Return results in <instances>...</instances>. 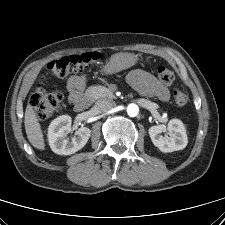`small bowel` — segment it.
Segmentation results:
<instances>
[{"label":"small bowel","instance_id":"obj_1","mask_svg":"<svg viewBox=\"0 0 225 225\" xmlns=\"http://www.w3.org/2000/svg\"><path fill=\"white\" fill-rule=\"evenodd\" d=\"M87 80L84 75H73L67 80L65 92L70 104H75L82 97ZM128 81L143 96L157 97L162 101L169 98L166 85L145 70L138 69L130 72Z\"/></svg>","mask_w":225,"mask_h":225}]
</instances>
